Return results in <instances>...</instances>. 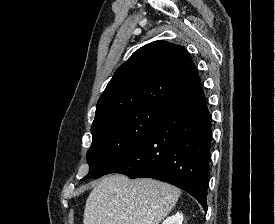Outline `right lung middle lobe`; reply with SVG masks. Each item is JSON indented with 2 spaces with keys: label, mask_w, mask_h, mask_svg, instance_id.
<instances>
[{
  "label": "right lung middle lobe",
  "mask_w": 275,
  "mask_h": 224,
  "mask_svg": "<svg viewBox=\"0 0 275 224\" xmlns=\"http://www.w3.org/2000/svg\"><path fill=\"white\" fill-rule=\"evenodd\" d=\"M165 111L142 107L92 127V144L87 153L90 169L82 180L108 174L149 135Z\"/></svg>",
  "instance_id": "1"
}]
</instances>
